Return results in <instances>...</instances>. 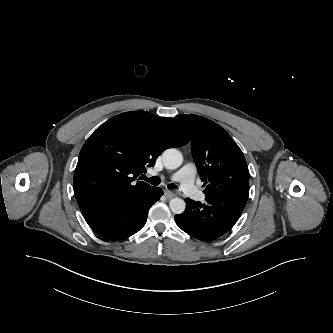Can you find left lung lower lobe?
Segmentation results:
<instances>
[{"label": "left lung lower lobe", "mask_w": 333, "mask_h": 333, "mask_svg": "<svg viewBox=\"0 0 333 333\" xmlns=\"http://www.w3.org/2000/svg\"><path fill=\"white\" fill-rule=\"evenodd\" d=\"M249 179L229 182L206 193V203L185 199L186 209L175 215L176 224L189 235L205 241L214 240L239 219L248 199Z\"/></svg>", "instance_id": "obj_1"}]
</instances>
